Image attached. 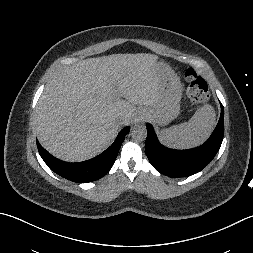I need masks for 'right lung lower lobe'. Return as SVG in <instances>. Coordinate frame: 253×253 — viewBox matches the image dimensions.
Returning a JSON list of instances; mask_svg holds the SVG:
<instances>
[{"label": "right lung lower lobe", "instance_id": "obj_1", "mask_svg": "<svg viewBox=\"0 0 253 253\" xmlns=\"http://www.w3.org/2000/svg\"><path fill=\"white\" fill-rule=\"evenodd\" d=\"M130 128L122 129L114 143L100 155L83 162H63L50 155L37 141L39 153L44 162L58 175L73 182H91L100 179L108 173L117 157L120 146Z\"/></svg>", "mask_w": 253, "mask_h": 253}]
</instances>
